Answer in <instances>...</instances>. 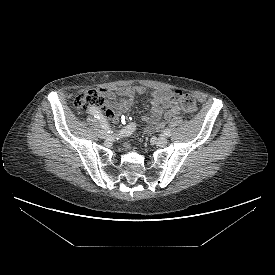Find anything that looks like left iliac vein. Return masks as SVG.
<instances>
[{
  "instance_id": "left-iliac-vein-1",
  "label": "left iliac vein",
  "mask_w": 275,
  "mask_h": 275,
  "mask_svg": "<svg viewBox=\"0 0 275 275\" xmlns=\"http://www.w3.org/2000/svg\"><path fill=\"white\" fill-rule=\"evenodd\" d=\"M155 143L159 147H164L165 145H167L168 142L165 137H159L155 139Z\"/></svg>"
}]
</instances>
